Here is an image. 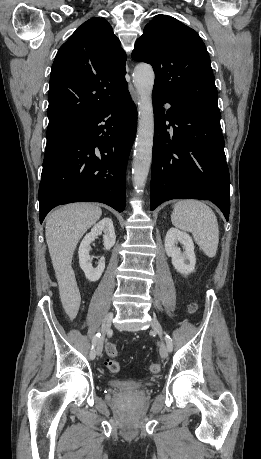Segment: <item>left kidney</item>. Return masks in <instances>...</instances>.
I'll use <instances>...</instances> for the list:
<instances>
[{
	"mask_svg": "<svg viewBox=\"0 0 261 459\" xmlns=\"http://www.w3.org/2000/svg\"><path fill=\"white\" fill-rule=\"evenodd\" d=\"M181 243L184 252L178 248ZM165 251L171 257L174 268L181 274L187 275L194 271L196 257L192 238L186 232L176 228H170L165 236Z\"/></svg>",
	"mask_w": 261,
	"mask_h": 459,
	"instance_id": "obj_1",
	"label": "left kidney"
}]
</instances>
